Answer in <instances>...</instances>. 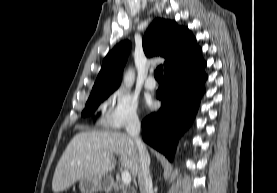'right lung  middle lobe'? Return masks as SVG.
<instances>
[{
	"mask_svg": "<svg viewBox=\"0 0 277 193\" xmlns=\"http://www.w3.org/2000/svg\"><path fill=\"white\" fill-rule=\"evenodd\" d=\"M113 91H103L98 93H93L90 95L85 109L82 112V116L90 115L92 114L95 109L98 107V105L105 100Z\"/></svg>",
	"mask_w": 277,
	"mask_h": 193,
	"instance_id": "1",
	"label": "right lung middle lobe"
}]
</instances>
